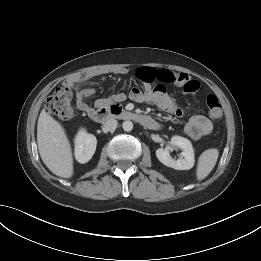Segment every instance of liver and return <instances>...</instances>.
I'll return each instance as SVG.
<instances>
[{
  "label": "liver",
  "mask_w": 261,
  "mask_h": 261,
  "mask_svg": "<svg viewBox=\"0 0 261 261\" xmlns=\"http://www.w3.org/2000/svg\"><path fill=\"white\" fill-rule=\"evenodd\" d=\"M37 144L42 161L55 175H73V156L69 140L61 124L42 110L37 124Z\"/></svg>",
  "instance_id": "1"
}]
</instances>
